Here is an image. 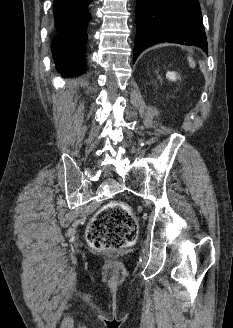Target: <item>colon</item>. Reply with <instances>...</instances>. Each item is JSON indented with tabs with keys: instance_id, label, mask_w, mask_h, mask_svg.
Masks as SVG:
<instances>
[{
	"instance_id": "colon-1",
	"label": "colon",
	"mask_w": 233,
	"mask_h": 328,
	"mask_svg": "<svg viewBox=\"0 0 233 328\" xmlns=\"http://www.w3.org/2000/svg\"><path fill=\"white\" fill-rule=\"evenodd\" d=\"M138 225L129 207L120 202L104 205L87 229L89 245L99 251H114L136 240Z\"/></svg>"
}]
</instances>
